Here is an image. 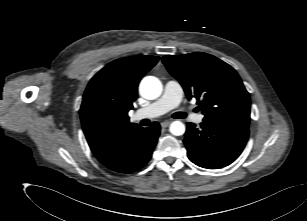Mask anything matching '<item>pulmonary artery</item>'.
<instances>
[{
    "mask_svg": "<svg viewBox=\"0 0 307 221\" xmlns=\"http://www.w3.org/2000/svg\"><path fill=\"white\" fill-rule=\"evenodd\" d=\"M183 98V89L180 83L176 80H168L165 83L162 96L145 108L137 110L134 114L135 119L144 117L153 118L161 116L168 111L177 108ZM192 120L195 123H202L204 116L202 114H193Z\"/></svg>",
    "mask_w": 307,
    "mask_h": 221,
    "instance_id": "e3ab8cb5",
    "label": "pulmonary artery"
}]
</instances>
